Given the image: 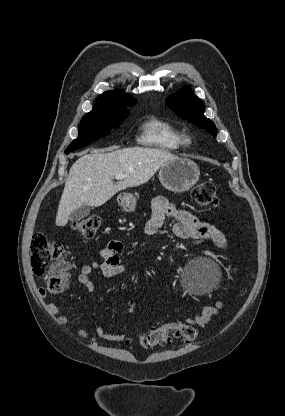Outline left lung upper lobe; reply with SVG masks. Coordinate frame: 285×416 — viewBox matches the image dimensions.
Here are the masks:
<instances>
[{
	"label": "left lung upper lobe",
	"instance_id": "obj_1",
	"mask_svg": "<svg viewBox=\"0 0 285 416\" xmlns=\"http://www.w3.org/2000/svg\"><path fill=\"white\" fill-rule=\"evenodd\" d=\"M166 104L181 118L204 128L216 137L217 131L214 123L204 116L205 103L188 87L168 97Z\"/></svg>",
	"mask_w": 285,
	"mask_h": 416
}]
</instances>
